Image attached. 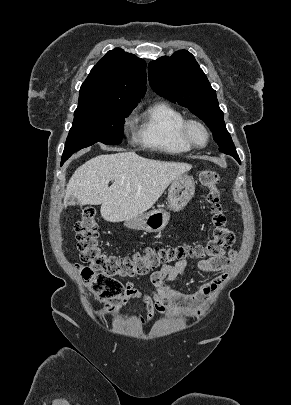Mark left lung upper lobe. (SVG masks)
Returning <instances> with one entry per match:
<instances>
[{
    "label": "left lung upper lobe",
    "instance_id": "obj_1",
    "mask_svg": "<svg viewBox=\"0 0 291 405\" xmlns=\"http://www.w3.org/2000/svg\"><path fill=\"white\" fill-rule=\"evenodd\" d=\"M149 83L159 95L189 108L213 133L219 151L240 162L231 136L226 129L224 114L219 108L216 91L194 56L186 50L163 56L148 65Z\"/></svg>",
    "mask_w": 291,
    "mask_h": 405
}]
</instances>
